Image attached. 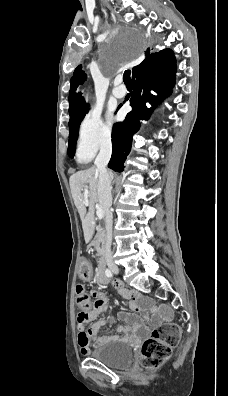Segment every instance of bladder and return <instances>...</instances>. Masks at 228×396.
I'll use <instances>...</instances> for the list:
<instances>
[{
    "label": "bladder",
    "instance_id": "1",
    "mask_svg": "<svg viewBox=\"0 0 228 396\" xmlns=\"http://www.w3.org/2000/svg\"><path fill=\"white\" fill-rule=\"evenodd\" d=\"M88 355L113 368H124L133 361V350L131 345L124 340H115L100 344L91 348Z\"/></svg>",
    "mask_w": 228,
    "mask_h": 396
}]
</instances>
